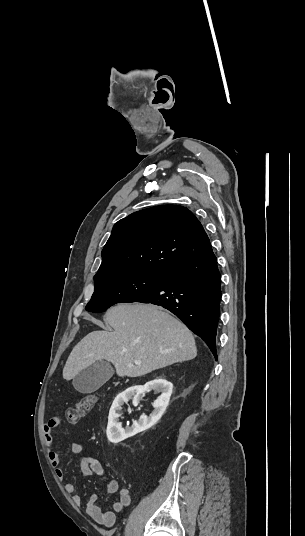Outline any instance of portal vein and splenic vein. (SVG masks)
Instances as JSON below:
<instances>
[{"mask_svg": "<svg viewBox=\"0 0 305 536\" xmlns=\"http://www.w3.org/2000/svg\"><path fill=\"white\" fill-rule=\"evenodd\" d=\"M134 364H140V362H137V360H135ZM132 366H133V364H132Z\"/></svg>", "mask_w": 305, "mask_h": 536, "instance_id": "18ae733b", "label": "portal vein and splenic vein"}]
</instances>
